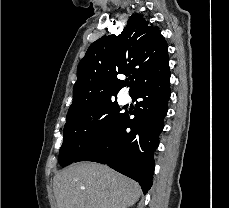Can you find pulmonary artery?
<instances>
[{
    "mask_svg": "<svg viewBox=\"0 0 229 208\" xmlns=\"http://www.w3.org/2000/svg\"><path fill=\"white\" fill-rule=\"evenodd\" d=\"M129 100V96L125 95V96H122L119 101L120 103H126L127 101Z\"/></svg>",
    "mask_w": 229,
    "mask_h": 208,
    "instance_id": "1",
    "label": "pulmonary artery"
}]
</instances>
